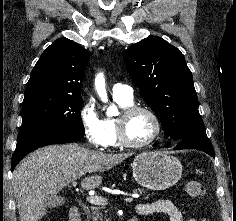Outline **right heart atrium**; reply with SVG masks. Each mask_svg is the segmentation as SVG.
Returning <instances> with one entry per match:
<instances>
[{
    "mask_svg": "<svg viewBox=\"0 0 236 221\" xmlns=\"http://www.w3.org/2000/svg\"><path fill=\"white\" fill-rule=\"evenodd\" d=\"M79 120L87 141L95 148L107 145V135L95 101L88 98L79 110Z\"/></svg>",
    "mask_w": 236,
    "mask_h": 221,
    "instance_id": "right-heart-atrium-1",
    "label": "right heart atrium"
}]
</instances>
